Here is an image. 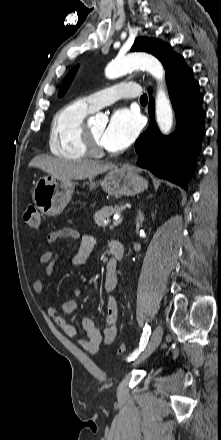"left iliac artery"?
<instances>
[{"label":"left iliac artery","instance_id":"obj_1","mask_svg":"<svg viewBox=\"0 0 221 440\" xmlns=\"http://www.w3.org/2000/svg\"><path fill=\"white\" fill-rule=\"evenodd\" d=\"M150 334H151V328H150L149 325L146 324L145 327H144V330H143L142 337H141L140 347H139L138 350L134 351V352H133V353L127 358L128 361L135 360V358L138 357V355L140 354V352L144 350V348H145V346H146V344H147V342H148V339H149Z\"/></svg>","mask_w":221,"mask_h":440}]
</instances>
